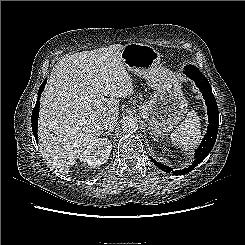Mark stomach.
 <instances>
[{
    "mask_svg": "<svg viewBox=\"0 0 245 245\" xmlns=\"http://www.w3.org/2000/svg\"><path fill=\"white\" fill-rule=\"evenodd\" d=\"M121 58L128 72L142 76L155 90L149 100L139 106L151 134L159 136L172 131L188 111L180 78L159 67L160 53L152 46L129 43L122 50Z\"/></svg>",
    "mask_w": 245,
    "mask_h": 245,
    "instance_id": "stomach-1",
    "label": "stomach"
}]
</instances>
